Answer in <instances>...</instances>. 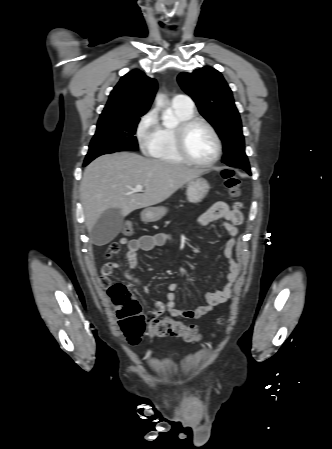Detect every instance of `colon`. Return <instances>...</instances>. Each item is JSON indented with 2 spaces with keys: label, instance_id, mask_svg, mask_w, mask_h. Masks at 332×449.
Wrapping results in <instances>:
<instances>
[{
  "label": "colon",
  "instance_id": "1",
  "mask_svg": "<svg viewBox=\"0 0 332 449\" xmlns=\"http://www.w3.org/2000/svg\"><path fill=\"white\" fill-rule=\"evenodd\" d=\"M222 178L231 197H236L240 192V180L235 171L225 168ZM122 232L125 236H132L134 224L124 223ZM121 242L110 243L104 253V258L110 260L121 252ZM108 294L115 306L119 324L130 344H137L146 328V319L141 306L131 288L125 283H113L108 286ZM223 320L220 321L223 324ZM148 332L151 337H179L187 342H195L200 338L198 329L194 325H185L181 321L169 317L152 319L148 322Z\"/></svg>",
  "mask_w": 332,
  "mask_h": 449
}]
</instances>
